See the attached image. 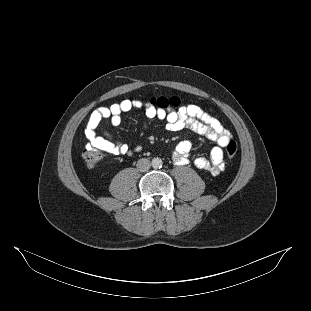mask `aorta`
<instances>
[{
  "mask_svg": "<svg viewBox=\"0 0 311 311\" xmlns=\"http://www.w3.org/2000/svg\"><path fill=\"white\" fill-rule=\"evenodd\" d=\"M162 164H163V161H162L160 158H154V159L152 160V166H153L154 168H159V167L162 166Z\"/></svg>",
  "mask_w": 311,
  "mask_h": 311,
  "instance_id": "762f6f07",
  "label": "aorta"
}]
</instances>
